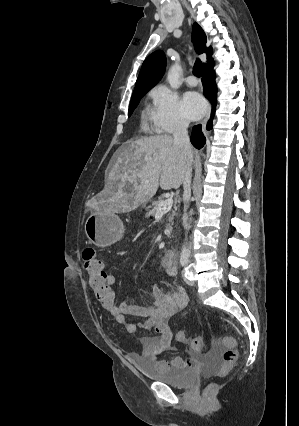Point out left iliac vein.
Wrapping results in <instances>:
<instances>
[{
    "label": "left iliac vein",
    "mask_w": 299,
    "mask_h": 426,
    "mask_svg": "<svg viewBox=\"0 0 299 426\" xmlns=\"http://www.w3.org/2000/svg\"><path fill=\"white\" fill-rule=\"evenodd\" d=\"M189 271H190V266H188V267L186 268L185 272H184V281H185L188 285L193 286V285H194V281H193V279H189V278H188V274L185 276L186 272H189Z\"/></svg>",
    "instance_id": "left-iliac-vein-1"
}]
</instances>
